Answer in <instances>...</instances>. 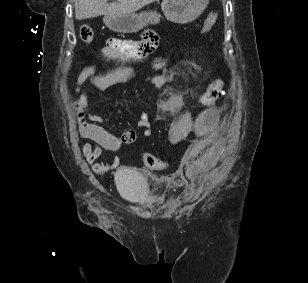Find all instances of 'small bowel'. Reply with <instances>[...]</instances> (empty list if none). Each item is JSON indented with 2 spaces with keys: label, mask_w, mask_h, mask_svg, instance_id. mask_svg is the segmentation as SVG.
<instances>
[{
  "label": "small bowel",
  "mask_w": 308,
  "mask_h": 283,
  "mask_svg": "<svg viewBox=\"0 0 308 283\" xmlns=\"http://www.w3.org/2000/svg\"><path fill=\"white\" fill-rule=\"evenodd\" d=\"M158 42V35L150 29L142 33V38L139 41L110 38L101 48L100 54L122 62V65L105 73H98L94 67H87L77 77L76 119L80 136L88 140L81 145V152L97 174H105L117 167L119 163L118 158L98 162L102 151H118L122 145L133 143L136 134L132 129H124L120 134L115 135L101 126V118L89 109L88 93L82 89V86L90 84L94 88L104 91L118 83L130 80L135 75L134 64L151 54L156 49ZM149 80L156 85L163 83V78L158 76L149 77ZM183 100V94L178 93L162 101L159 105L160 116L158 119L178 110ZM137 125L143 129L142 135L144 137H149L152 134V120L148 112L140 113Z\"/></svg>",
  "instance_id": "1"
}]
</instances>
